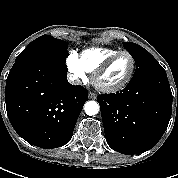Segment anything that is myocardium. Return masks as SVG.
I'll use <instances>...</instances> for the list:
<instances>
[{
	"instance_id": "obj_1",
	"label": "myocardium",
	"mask_w": 178,
	"mask_h": 178,
	"mask_svg": "<svg viewBox=\"0 0 178 178\" xmlns=\"http://www.w3.org/2000/svg\"><path fill=\"white\" fill-rule=\"evenodd\" d=\"M123 55H127L129 56V58L131 59L132 62V66H131V70L129 72V74L127 75V77L121 81L120 83L113 85V86H103L99 83V78L100 76L108 69V67L119 57L123 56ZM136 70V60L135 57L132 53L128 52V51H119L118 53L110 56L109 58H107L94 72L92 75V82L94 84V86L100 90L101 92L104 93H116L119 92L120 90L124 89L132 80L134 73Z\"/></svg>"
}]
</instances>
